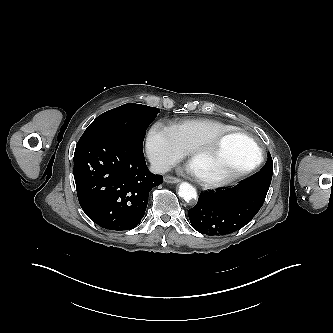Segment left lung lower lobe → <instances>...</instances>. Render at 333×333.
I'll use <instances>...</instances> for the list:
<instances>
[{
  "label": "left lung lower lobe",
  "instance_id": "0a47b994",
  "mask_svg": "<svg viewBox=\"0 0 333 333\" xmlns=\"http://www.w3.org/2000/svg\"><path fill=\"white\" fill-rule=\"evenodd\" d=\"M271 180V172H257L232 188L200 194L189 210L191 225L201 234L214 236L239 230L262 207Z\"/></svg>",
  "mask_w": 333,
  "mask_h": 333
}]
</instances>
